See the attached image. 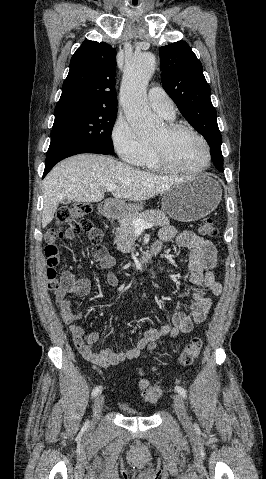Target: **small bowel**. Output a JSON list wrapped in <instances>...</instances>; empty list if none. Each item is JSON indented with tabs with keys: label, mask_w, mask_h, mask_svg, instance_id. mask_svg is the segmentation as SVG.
I'll return each mask as SVG.
<instances>
[{
	"label": "small bowel",
	"mask_w": 266,
	"mask_h": 479,
	"mask_svg": "<svg viewBox=\"0 0 266 479\" xmlns=\"http://www.w3.org/2000/svg\"><path fill=\"white\" fill-rule=\"evenodd\" d=\"M58 237L73 241L75 234L70 231H59ZM174 240L175 243L190 251L189 281L194 286L191 298L186 302V311L173 312L169 320L158 328L147 330L137 344L129 349L113 352L110 349H95L94 345L100 338L98 332L86 333L78 324L84 314L73 309L72 298H85L91 292V283L84 277H76L71 271L61 273L59 280L51 285L55 305L62 321L68 326L75 347L81 356L102 368L115 366L127 360H137L141 353L151 343L167 336L177 338L181 334L192 331L195 325L202 324L212 305L213 296L222 292V285L215 277L217 266V251L213 243L192 231L177 232L172 226H164L159 231V247L163 243ZM93 259L103 269L115 265L113 256L106 253L100 245L93 244ZM106 282L110 287L119 284L116 273H108ZM209 291V293H207Z\"/></svg>",
	"instance_id": "1"
}]
</instances>
